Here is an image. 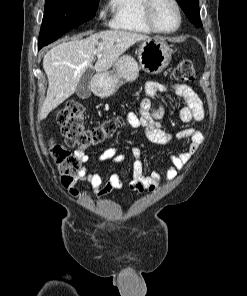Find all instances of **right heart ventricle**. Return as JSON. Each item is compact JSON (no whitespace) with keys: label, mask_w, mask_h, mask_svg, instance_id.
<instances>
[{"label":"right heart ventricle","mask_w":247,"mask_h":296,"mask_svg":"<svg viewBox=\"0 0 247 296\" xmlns=\"http://www.w3.org/2000/svg\"><path fill=\"white\" fill-rule=\"evenodd\" d=\"M145 0H109L110 26L117 30L150 34L154 31L147 24L144 14Z\"/></svg>","instance_id":"obj_1"}]
</instances>
